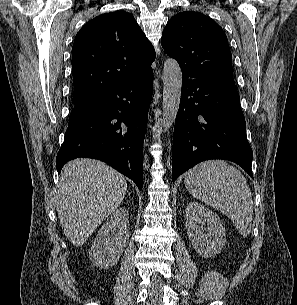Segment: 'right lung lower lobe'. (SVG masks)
Segmentation results:
<instances>
[{
  "instance_id": "right-lung-lower-lobe-1",
  "label": "right lung lower lobe",
  "mask_w": 297,
  "mask_h": 305,
  "mask_svg": "<svg viewBox=\"0 0 297 305\" xmlns=\"http://www.w3.org/2000/svg\"><path fill=\"white\" fill-rule=\"evenodd\" d=\"M153 91V70L104 89L70 114L57 158L63 165L78 157L99 159L143 187V142Z\"/></svg>"
}]
</instances>
